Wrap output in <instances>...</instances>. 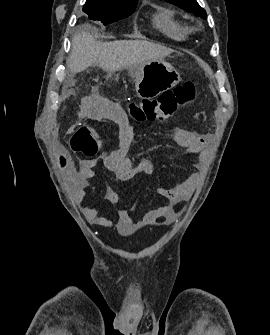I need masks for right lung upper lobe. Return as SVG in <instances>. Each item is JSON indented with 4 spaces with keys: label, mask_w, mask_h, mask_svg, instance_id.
<instances>
[{
    "label": "right lung upper lobe",
    "mask_w": 270,
    "mask_h": 335,
    "mask_svg": "<svg viewBox=\"0 0 270 335\" xmlns=\"http://www.w3.org/2000/svg\"><path fill=\"white\" fill-rule=\"evenodd\" d=\"M100 6H118L126 4H135L138 0H92Z\"/></svg>",
    "instance_id": "obj_1"
}]
</instances>
